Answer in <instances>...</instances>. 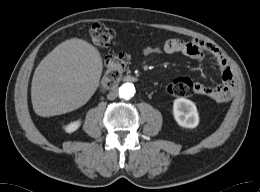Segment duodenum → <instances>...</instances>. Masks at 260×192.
<instances>
[{"mask_svg":"<svg viewBox=\"0 0 260 192\" xmlns=\"http://www.w3.org/2000/svg\"><path fill=\"white\" fill-rule=\"evenodd\" d=\"M123 81L125 82H135L136 81V78L132 75H125L123 78H122Z\"/></svg>","mask_w":260,"mask_h":192,"instance_id":"duodenum-1","label":"duodenum"}]
</instances>
